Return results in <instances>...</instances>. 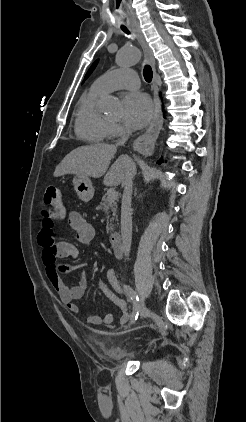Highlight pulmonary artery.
Returning a JSON list of instances; mask_svg holds the SVG:
<instances>
[{
	"mask_svg": "<svg viewBox=\"0 0 246 422\" xmlns=\"http://www.w3.org/2000/svg\"><path fill=\"white\" fill-rule=\"evenodd\" d=\"M93 87L103 93L124 88L136 89L139 87V77L133 70L116 69L97 78Z\"/></svg>",
	"mask_w": 246,
	"mask_h": 422,
	"instance_id": "e3ab8cb5",
	"label": "pulmonary artery"
}]
</instances>
